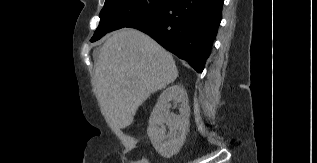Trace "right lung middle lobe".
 <instances>
[{"label":"right lung middle lobe","mask_w":317,"mask_h":163,"mask_svg":"<svg viewBox=\"0 0 317 163\" xmlns=\"http://www.w3.org/2000/svg\"><path fill=\"white\" fill-rule=\"evenodd\" d=\"M169 0H106L100 12V23L91 42L106 33L139 21L163 7Z\"/></svg>","instance_id":"dd1d6c3e"}]
</instances>
